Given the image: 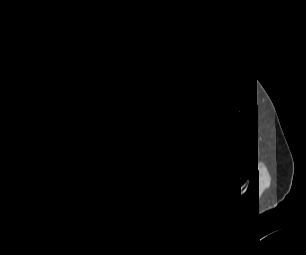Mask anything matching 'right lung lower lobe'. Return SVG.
I'll return each instance as SVG.
<instances>
[{
	"label": "right lung lower lobe",
	"instance_id": "98d812e1",
	"mask_svg": "<svg viewBox=\"0 0 306 255\" xmlns=\"http://www.w3.org/2000/svg\"><path fill=\"white\" fill-rule=\"evenodd\" d=\"M94 187L92 192H87L85 197L91 201L102 203L106 205H113L121 199L126 192V178L123 172L113 170L110 172L102 182Z\"/></svg>",
	"mask_w": 306,
	"mask_h": 255
}]
</instances>
